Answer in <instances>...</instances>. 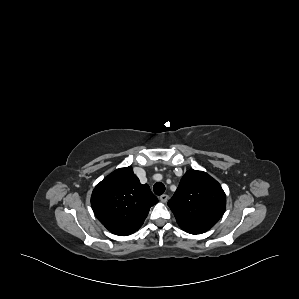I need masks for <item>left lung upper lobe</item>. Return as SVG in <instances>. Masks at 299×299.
Returning <instances> with one entry per match:
<instances>
[{
    "label": "left lung upper lobe",
    "mask_w": 299,
    "mask_h": 299,
    "mask_svg": "<svg viewBox=\"0 0 299 299\" xmlns=\"http://www.w3.org/2000/svg\"><path fill=\"white\" fill-rule=\"evenodd\" d=\"M226 196L220 184L205 172L189 170L169 200L179 226L190 234L212 228L225 211Z\"/></svg>",
    "instance_id": "5c2ea615"
}]
</instances>
